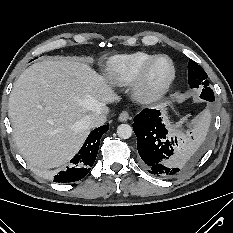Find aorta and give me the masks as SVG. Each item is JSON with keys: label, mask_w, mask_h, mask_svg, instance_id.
I'll list each match as a JSON object with an SVG mask.
<instances>
[{"label": "aorta", "mask_w": 233, "mask_h": 233, "mask_svg": "<svg viewBox=\"0 0 233 233\" xmlns=\"http://www.w3.org/2000/svg\"><path fill=\"white\" fill-rule=\"evenodd\" d=\"M133 129L128 124H121L117 128V135L122 139H128L131 137Z\"/></svg>", "instance_id": "1"}]
</instances>
